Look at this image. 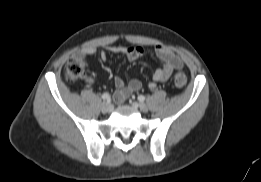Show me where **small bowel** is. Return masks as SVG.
I'll return each mask as SVG.
<instances>
[{"instance_id":"small-bowel-1","label":"small bowel","mask_w":261,"mask_h":182,"mask_svg":"<svg viewBox=\"0 0 261 182\" xmlns=\"http://www.w3.org/2000/svg\"><path fill=\"white\" fill-rule=\"evenodd\" d=\"M97 52L98 48L96 46H87L79 50L73 58L84 61L86 57L94 55ZM107 52L123 54L128 60L135 61L144 55L145 49L143 47L106 46L100 51V59L102 61H106ZM155 53L163 64L154 72L152 81L148 84L150 89H154L157 82L166 81L173 71L183 67L182 59L170 48L158 45L155 47ZM114 85L116 87L114 98L118 102L125 100L131 93L140 90L142 87L140 80L132 79L126 84L124 79L119 75L114 77Z\"/></svg>"}]
</instances>
